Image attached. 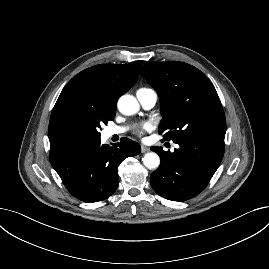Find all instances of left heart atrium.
I'll list each match as a JSON object with an SVG mask.
<instances>
[{"label":"left heart atrium","instance_id":"39dd6f15","mask_svg":"<svg viewBox=\"0 0 269 269\" xmlns=\"http://www.w3.org/2000/svg\"><path fill=\"white\" fill-rule=\"evenodd\" d=\"M152 128H153L152 123H150V122H145V123L140 124V125L137 127L136 132H137L138 134H142L144 131L151 130Z\"/></svg>","mask_w":269,"mask_h":269}]
</instances>
